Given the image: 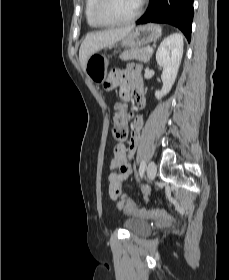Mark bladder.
<instances>
[{
	"instance_id": "bladder-1",
	"label": "bladder",
	"mask_w": 229,
	"mask_h": 280,
	"mask_svg": "<svg viewBox=\"0 0 229 280\" xmlns=\"http://www.w3.org/2000/svg\"><path fill=\"white\" fill-rule=\"evenodd\" d=\"M125 226L133 235L149 234L153 231L152 226L145 219L131 218L125 221Z\"/></svg>"
}]
</instances>
